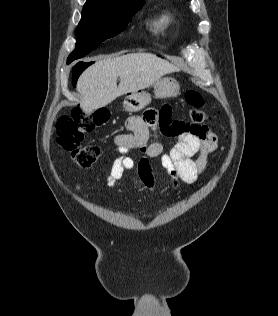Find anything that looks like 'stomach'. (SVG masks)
<instances>
[{
  "label": "stomach",
  "instance_id": "obj_1",
  "mask_svg": "<svg viewBox=\"0 0 278 316\" xmlns=\"http://www.w3.org/2000/svg\"><path fill=\"white\" fill-rule=\"evenodd\" d=\"M156 98H171L178 94L179 83L170 77L158 79L154 85ZM151 102V95L147 92H136L126 96L123 107L128 112H137L144 109Z\"/></svg>",
  "mask_w": 278,
  "mask_h": 316
}]
</instances>
